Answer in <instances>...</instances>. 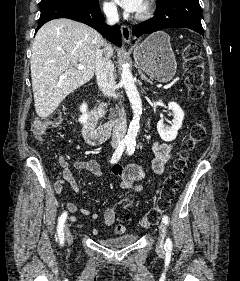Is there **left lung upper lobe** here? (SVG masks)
<instances>
[{
    "instance_id": "left-lung-upper-lobe-1",
    "label": "left lung upper lobe",
    "mask_w": 240,
    "mask_h": 281,
    "mask_svg": "<svg viewBox=\"0 0 240 281\" xmlns=\"http://www.w3.org/2000/svg\"><path fill=\"white\" fill-rule=\"evenodd\" d=\"M161 0H156V3L160 2Z\"/></svg>"
}]
</instances>
